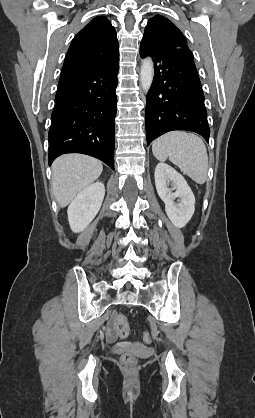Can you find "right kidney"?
<instances>
[{
	"mask_svg": "<svg viewBox=\"0 0 255 418\" xmlns=\"http://www.w3.org/2000/svg\"><path fill=\"white\" fill-rule=\"evenodd\" d=\"M105 195L102 182H96L77 194L68 207V221L73 232L83 231L99 212Z\"/></svg>",
	"mask_w": 255,
	"mask_h": 418,
	"instance_id": "1",
	"label": "right kidney"
}]
</instances>
